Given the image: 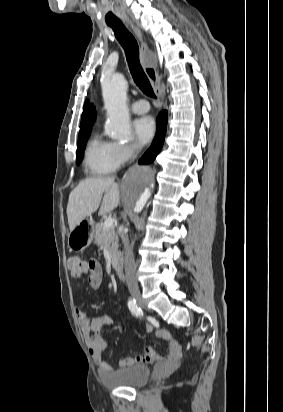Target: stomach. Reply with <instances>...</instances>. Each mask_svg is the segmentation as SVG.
I'll use <instances>...</instances> for the list:
<instances>
[{
	"label": "stomach",
	"mask_w": 283,
	"mask_h": 412,
	"mask_svg": "<svg viewBox=\"0 0 283 412\" xmlns=\"http://www.w3.org/2000/svg\"><path fill=\"white\" fill-rule=\"evenodd\" d=\"M94 224L90 220L81 221L68 235V246L74 251L87 248L93 240Z\"/></svg>",
	"instance_id": "obj_1"
}]
</instances>
